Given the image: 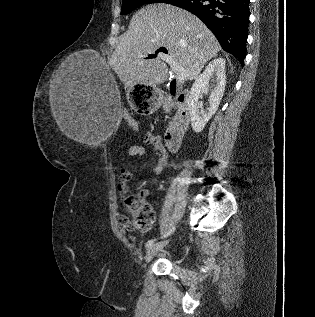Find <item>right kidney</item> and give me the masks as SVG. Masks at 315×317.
<instances>
[{
	"mask_svg": "<svg viewBox=\"0 0 315 317\" xmlns=\"http://www.w3.org/2000/svg\"><path fill=\"white\" fill-rule=\"evenodd\" d=\"M225 63L223 58L212 60L206 66L203 73L196 78L191 88L187 104L190 113L191 126L196 133H199L204 129L205 125L218 110L226 85ZM211 77H213L215 87L209 98V111L208 113H204L200 110L201 104L198 102V99L209 87Z\"/></svg>",
	"mask_w": 315,
	"mask_h": 317,
	"instance_id": "right-kidney-1",
	"label": "right kidney"
}]
</instances>
